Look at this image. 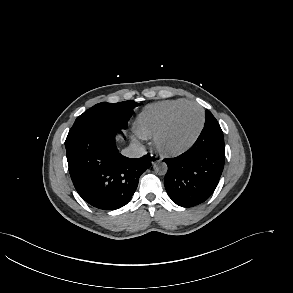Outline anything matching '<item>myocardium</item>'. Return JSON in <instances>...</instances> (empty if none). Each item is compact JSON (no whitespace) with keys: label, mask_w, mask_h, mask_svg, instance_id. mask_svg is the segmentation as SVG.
<instances>
[{"label":"myocardium","mask_w":293,"mask_h":293,"mask_svg":"<svg viewBox=\"0 0 293 293\" xmlns=\"http://www.w3.org/2000/svg\"><path fill=\"white\" fill-rule=\"evenodd\" d=\"M195 107L200 111L201 114V123L200 126L195 134V136L191 139V141L186 144L185 146L179 148V149H175V150H171V149H166L162 146L161 144V140L162 137L164 136V134L167 132V130L169 129L170 125L172 124L174 118L176 117V115L185 107ZM205 123H206V115H205V111L204 109L197 103L192 102V101H188L184 104H181L177 107H175L170 114L168 115V117L166 118L165 122L163 123V125L159 128V130L155 133V135L153 136V145L155 150L162 156H167V157H177L180 155L185 154L186 152H188L198 141V139L200 138L203 129L205 127Z\"/></svg>","instance_id":"myocardium-1"}]
</instances>
